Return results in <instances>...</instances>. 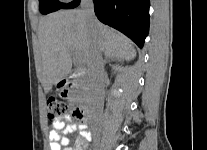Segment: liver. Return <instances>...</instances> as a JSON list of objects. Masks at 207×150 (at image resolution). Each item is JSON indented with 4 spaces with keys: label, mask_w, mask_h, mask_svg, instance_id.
Segmentation results:
<instances>
[{
    "label": "liver",
    "mask_w": 207,
    "mask_h": 150,
    "mask_svg": "<svg viewBox=\"0 0 207 150\" xmlns=\"http://www.w3.org/2000/svg\"><path fill=\"white\" fill-rule=\"evenodd\" d=\"M38 38L46 93L70 74L74 55L88 65L95 42L106 57L131 60L136 56L130 40L99 21L90 26L79 9L58 11L42 18Z\"/></svg>",
    "instance_id": "1"
}]
</instances>
